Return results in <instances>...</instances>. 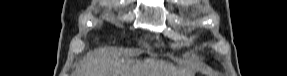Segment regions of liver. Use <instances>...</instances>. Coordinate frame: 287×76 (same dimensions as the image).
<instances>
[{
  "label": "liver",
  "instance_id": "1",
  "mask_svg": "<svg viewBox=\"0 0 287 76\" xmlns=\"http://www.w3.org/2000/svg\"><path fill=\"white\" fill-rule=\"evenodd\" d=\"M78 74L79 76H182L184 73L165 61L148 59L141 62L129 57H119L117 49L104 47L94 49L83 57L78 67Z\"/></svg>",
  "mask_w": 287,
  "mask_h": 76
}]
</instances>
